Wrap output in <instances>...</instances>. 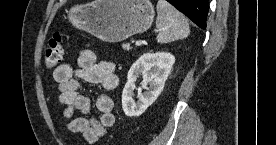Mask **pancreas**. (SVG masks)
I'll return each mask as SVG.
<instances>
[{"label": "pancreas", "mask_w": 276, "mask_h": 145, "mask_svg": "<svg viewBox=\"0 0 276 145\" xmlns=\"http://www.w3.org/2000/svg\"><path fill=\"white\" fill-rule=\"evenodd\" d=\"M122 48L124 49V50H129L130 49V45L128 44V43H124L123 45H122Z\"/></svg>", "instance_id": "pancreas-1"}]
</instances>
